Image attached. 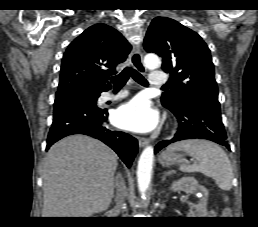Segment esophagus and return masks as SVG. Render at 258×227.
Returning a JSON list of instances; mask_svg holds the SVG:
<instances>
[{
  "label": "esophagus",
  "instance_id": "esophagus-1",
  "mask_svg": "<svg viewBox=\"0 0 258 227\" xmlns=\"http://www.w3.org/2000/svg\"><path fill=\"white\" fill-rule=\"evenodd\" d=\"M131 63L134 66L136 70H138L141 73L146 72V68L143 65L142 61V54L138 47H134L131 53ZM139 146L144 147L149 143V140L147 138L140 137L138 139Z\"/></svg>",
  "mask_w": 258,
  "mask_h": 227
}]
</instances>
